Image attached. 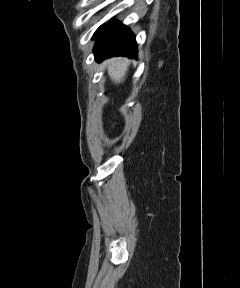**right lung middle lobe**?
I'll return each instance as SVG.
<instances>
[{
  "instance_id": "obj_1",
  "label": "right lung middle lobe",
  "mask_w": 240,
  "mask_h": 288,
  "mask_svg": "<svg viewBox=\"0 0 240 288\" xmlns=\"http://www.w3.org/2000/svg\"><path fill=\"white\" fill-rule=\"evenodd\" d=\"M101 27H102V26H101ZM101 27H100V28H101ZM100 28H99V29H100ZM99 29L96 31V33L99 31ZM96 33H95V35H96Z\"/></svg>"
}]
</instances>
